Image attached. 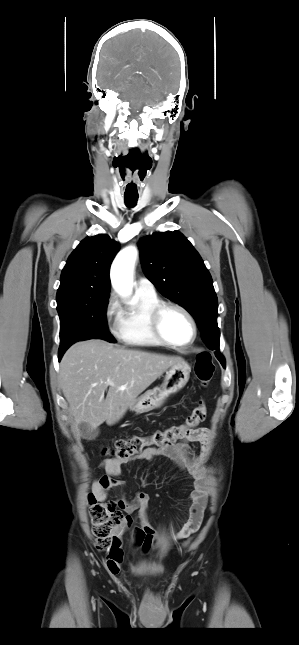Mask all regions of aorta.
I'll return each instance as SVG.
<instances>
[{"label": "aorta", "instance_id": "1", "mask_svg": "<svg viewBox=\"0 0 299 645\" xmlns=\"http://www.w3.org/2000/svg\"><path fill=\"white\" fill-rule=\"evenodd\" d=\"M137 257V249L126 247L118 253L111 267V282L114 289L123 296H128L133 287V269Z\"/></svg>", "mask_w": 299, "mask_h": 645}]
</instances>
